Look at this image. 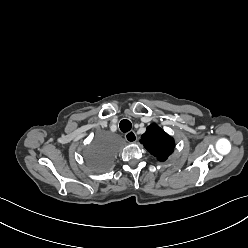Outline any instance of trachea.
<instances>
[{"mask_svg": "<svg viewBox=\"0 0 248 248\" xmlns=\"http://www.w3.org/2000/svg\"><path fill=\"white\" fill-rule=\"evenodd\" d=\"M120 130L124 133L128 132L132 128V124L129 120L123 119L119 124Z\"/></svg>", "mask_w": 248, "mask_h": 248, "instance_id": "trachea-1", "label": "trachea"}]
</instances>
